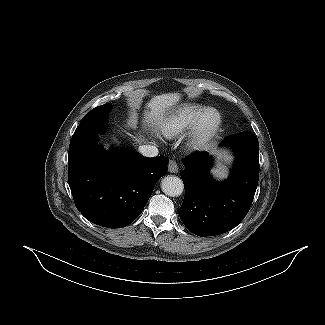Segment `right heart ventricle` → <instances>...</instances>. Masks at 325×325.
Wrapping results in <instances>:
<instances>
[{"label": "right heart ventricle", "instance_id": "right-heart-ventricle-1", "mask_svg": "<svg viewBox=\"0 0 325 325\" xmlns=\"http://www.w3.org/2000/svg\"><path fill=\"white\" fill-rule=\"evenodd\" d=\"M204 109L200 104H183L159 122V131L167 138L178 136L192 126Z\"/></svg>", "mask_w": 325, "mask_h": 325}]
</instances>
